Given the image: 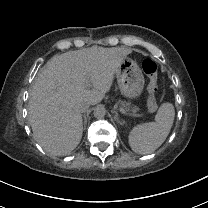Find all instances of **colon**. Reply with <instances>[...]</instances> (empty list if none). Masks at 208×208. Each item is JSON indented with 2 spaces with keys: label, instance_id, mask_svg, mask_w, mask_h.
<instances>
[{
  "label": "colon",
  "instance_id": "5ec220e1",
  "mask_svg": "<svg viewBox=\"0 0 208 208\" xmlns=\"http://www.w3.org/2000/svg\"><path fill=\"white\" fill-rule=\"evenodd\" d=\"M142 69L147 78V105L151 111L157 109L155 94L157 91L158 69L156 62L151 58H145L142 62Z\"/></svg>",
  "mask_w": 208,
  "mask_h": 208
}]
</instances>
